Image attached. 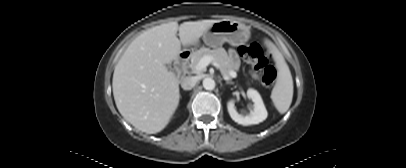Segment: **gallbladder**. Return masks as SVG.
Wrapping results in <instances>:
<instances>
[{
    "instance_id": "gallbladder-1",
    "label": "gallbladder",
    "mask_w": 406,
    "mask_h": 168,
    "mask_svg": "<svg viewBox=\"0 0 406 168\" xmlns=\"http://www.w3.org/2000/svg\"><path fill=\"white\" fill-rule=\"evenodd\" d=\"M166 67H167V69L170 70V71L173 70V68H172V66H171L170 64H167Z\"/></svg>"
}]
</instances>
